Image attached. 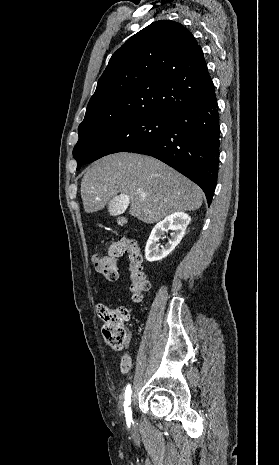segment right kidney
Listing matches in <instances>:
<instances>
[{"label": "right kidney", "mask_w": 279, "mask_h": 465, "mask_svg": "<svg viewBox=\"0 0 279 465\" xmlns=\"http://www.w3.org/2000/svg\"><path fill=\"white\" fill-rule=\"evenodd\" d=\"M191 217L184 212H175L158 222L151 231L145 247L147 261H159L168 256L182 240ZM171 230V238L162 249L157 248V242L165 232Z\"/></svg>", "instance_id": "1"}]
</instances>
